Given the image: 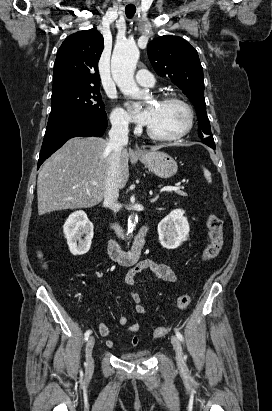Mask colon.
I'll use <instances>...</instances> for the list:
<instances>
[{"mask_svg": "<svg viewBox=\"0 0 272 411\" xmlns=\"http://www.w3.org/2000/svg\"><path fill=\"white\" fill-rule=\"evenodd\" d=\"M207 227L209 234V244L202 253V260L209 261L216 258L222 250L224 242L223 222L214 215L210 214L207 218ZM191 302L189 294H182L177 299V308L180 311L185 310ZM170 332V326H160L154 329L153 335L156 338L164 337Z\"/></svg>", "mask_w": 272, "mask_h": 411, "instance_id": "obj_1", "label": "colon"}]
</instances>
